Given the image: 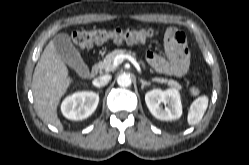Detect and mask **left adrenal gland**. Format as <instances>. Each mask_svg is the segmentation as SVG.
<instances>
[{"mask_svg": "<svg viewBox=\"0 0 249 165\" xmlns=\"http://www.w3.org/2000/svg\"><path fill=\"white\" fill-rule=\"evenodd\" d=\"M140 82H141V89H144V87L145 86H150L151 85V83L150 82H147V81H145V80H143V79H140Z\"/></svg>", "mask_w": 249, "mask_h": 165, "instance_id": "1", "label": "left adrenal gland"}]
</instances>
